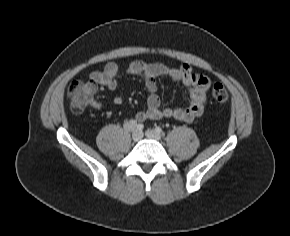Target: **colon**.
Masks as SVG:
<instances>
[{"mask_svg":"<svg viewBox=\"0 0 290 236\" xmlns=\"http://www.w3.org/2000/svg\"><path fill=\"white\" fill-rule=\"evenodd\" d=\"M96 94V86L88 81H73L67 89L71 110L82 113L91 104ZM211 97L216 102H225L229 98L227 89L222 84H215L211 90Z\"/></svg>","mask_w":290,"mask_h":236,"instance_id":"obj_1","label":"colon"}]
</instances>
